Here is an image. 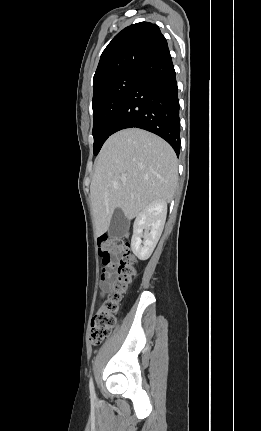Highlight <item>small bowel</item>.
Here are the masks:
<instances>
[{
	"instance_id": "obj_1",
	"label": "small bowel",
	"mask_w": 261,
	"mask_h": 431,
	"mask_svg": "<svg viewBox=\"0 0 261 431\" xmlns=\"http://www.w3.org/2000/svg\"><path fill=\"white\" fill-rule=\"evenodd\" d=\"M114 274L115 270L112 266H108L102 270L100 281V291L102 296L110 291L114 279Z\"/></svg>"
}]
</instances>
